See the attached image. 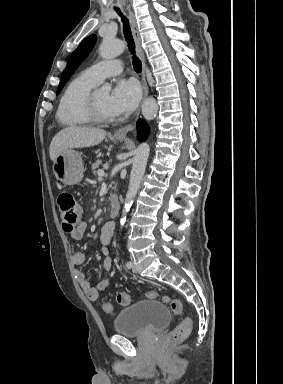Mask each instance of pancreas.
I'll list each match as a JSON object with an SVG mask.
<instances>
[{"label": "pancreas", "instance_id": "pancreas-1", "mask_svg": "<svg viewBox=\"0 0 283 384\" xmlns=\"http://www.w3.org/2000/svg\"><path fill=\"white\" fill-rule=\"evenodd\" d=\"M102 164V160H97V162H94V164H92V172H94V174H96V170L97 168H99V166H101Z\"/></svg>", "mask_w": 283, "mask_h": 384}]
</instances>
